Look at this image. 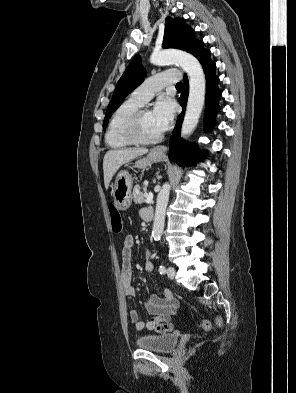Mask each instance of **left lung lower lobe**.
Listing matches in <instances>:
<instances>
[{
	"instance_id": "1",
	"label": "left lung lower lobe",
	"mask_w": 296,
	"mask_h": 393,
	"mask_svg": "<svg viewBox=\"0 0 296 393\" xmlns=\"http://www.w3.org/2000/svg\"><path fill=\"white\" fill-rule=\"evenodd\" d=\"M206 75V109L205 129L208 130L215 125V115L219 110V98L221 92L218 89L219 78L215 74L216 64L210 59V51L200 60ZM188 79L184 77V91L179 99L183 108L178 116L177 124L170 138L169 158L181 166H189L200 159L201 153L195 145L185 142L180 138V128L184 116V108L188 98Z\"/></svg>"
}]
</instances>
